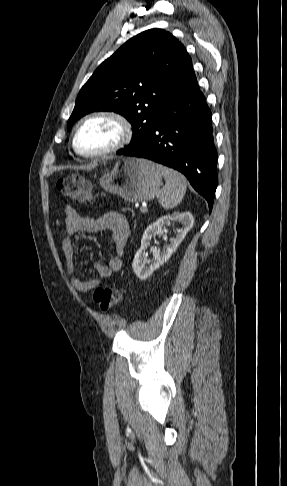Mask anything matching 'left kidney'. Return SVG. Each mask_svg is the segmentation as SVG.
Here are the masks:
<instances>
[{"label":"left kidney","instance_id":"obj_1","mask_svg":"<svg viewBox=\"0 0 287 486\" xmlns=\"http://www.w3.org/2000/svg\"><path fill=\"white\" fill-rule=\"evenodd\" d=\"M180 222L182 228L178 230L175 238L170 239V244L160 252L157 248L152 249L153 259L147 261L145 259V250L150 245L151 238L155 235L162 236L166 230V226L171 222ZM194 224V217L190 212L174 213L173 215H164L151 223L143 233L141 239V247L136 252L132 263V268L135 275L140 280H145L152 273L165 263L171 255L177 250L180 243L184 240L186 234L190 231Z\"/></svg>","mask_w":287,"mask_h":486}]
</instances>
